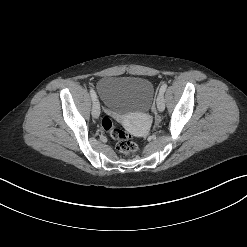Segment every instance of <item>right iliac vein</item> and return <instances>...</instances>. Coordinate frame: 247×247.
Returning a JSON list of instances; mask_svg holds the SVG:
<instances>
[{
	"label": "right iliac vein",
	"instance_id": "right-iliac-vein-1",
	"mask_svg": "<svg viewBox=\"0 0 247 247\" xmlns=\"http://www.w3.org/2000/svg\"><path fill=\"white\" fill-rule=\"evenodd\" d=\"M92 116L96 119L99 118V116H100V105H99V102L97 100H95L93 103Z\"/></svg>",
	"mask_w": 247,
	"mask_h": 247
}]
</instances>
